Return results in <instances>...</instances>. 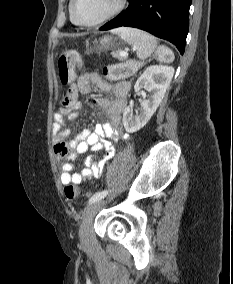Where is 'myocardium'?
I'll use <instances>...</instances> for the list:
<instances>
[{"label": "myocardium", "instance_id": "obj_1", "mask_svg": "<svg viewBox=\"0 0 233 284\" xmlns=\"http://www.w3.org/2000/svg\"><path fill=\"white\" fill-rule=\"evenodd\" d=\"M76 2L77 0H71V3H70L71 18L74 21V23H76L77 25L83 26V27H95V26H98V25H101L103 23L110 21L111 19L116 17L124 9L126 5V0H118L116 6L104 17L100 18L97 21L86 23V22L80 21L76 16V13H75Z\"/></svg>", "mask_w": 233, "mask_h": 284}]
</instances>
